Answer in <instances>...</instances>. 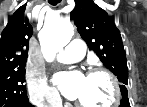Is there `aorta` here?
I'll return each instance as SVG.
<instances>
[{
    "instance_id": "1",
    "label": "aorta",
    "mask_w": 147,
    "mask_h": 107,
    "mask_svg": "<svg viewBox=\"0 0 147 107\" xmlns=\"http://www.w3.org/2000/svg\"><path fill=\"white\" fill-rule=\"evenodd\" d=\"M74 27L66 21H47L39 33L41 51L48 62H52L58 50L71 40Z\"/></svg>"
}]
</instances>
